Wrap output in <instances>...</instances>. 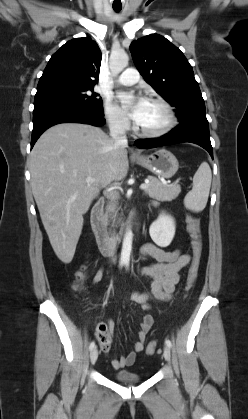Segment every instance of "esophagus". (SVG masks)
<instances>
[{"label": "esophagus", "mask_w": 248, "mask_h": 419, "mask_svg": "<svg viewBox=\"0 0 248 419\" xmlns=\"http://www.w3.org/2000/svg\"><path fill=\"white\" fill-rule=\"evenodd\" d=\"M132 155H133V156H137V155H139V153H138V152H136V151H133V152H132Z\"/></svg>", "instance_id": "34e87169"}]
</instances>
